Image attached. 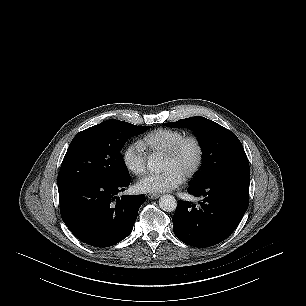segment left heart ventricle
I'll list each match as a JSON object with an SVG mask.
<instances>
[{
  "instance_id": "1",
  "label": "left heart ventricle",
  "mask_w": 306,
  "mask_h": 306,
  "mask_svg": "<svg viewBox=\"0 0 306 306\" xmlns=\"http://www.w3.org/2000/svg\"><path fill=\"white\" fill-rule=\"evenodd\" d=\"M197 159V149L192 142L186 143L174 158L163 157L162 169H173L185 177L193 168Z\"/></svg>"
}]
</instances>
